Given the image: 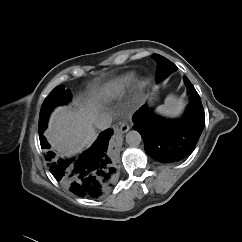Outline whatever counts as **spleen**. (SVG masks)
I'll list each match as a JSON object with an SVG mask.
<instances>
[{
    "label": "spleen",
    "mask_w": 242,
    "mask_h": 242,
    "mask_svg": "<svg viewBox=\"0 0 242 242\" xmlns=\"http://www.w3.org/2000/svg\"><path fill=\"white\" fill-rule=\"evenodd\" d=\"M183 108V103L173 95L167 96L163 105L157 107V112L167 117H177Z\"/></svg>",
    "instance_id": "obj_1"
}]
</instances>
